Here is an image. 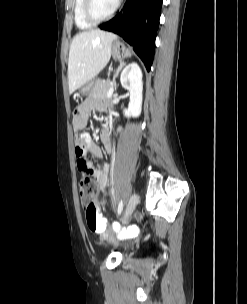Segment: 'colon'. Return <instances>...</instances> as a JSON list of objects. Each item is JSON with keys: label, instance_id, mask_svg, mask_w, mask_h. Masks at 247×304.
Segmentation results:
<instances>
[{"label": "colon", "instance_id": "1", "mask_svg": "<svg viewBox=\"0 0 247 304\" xmlns=\"http://www.w3.org/2000/svg\"><path fill=\"white\" fill-rule=\"evenodd\" d=\"M78 120V119H74ZM83 165V163H82ZM97 193L95 181L90 176H84L79 183V195L85 209L86 222L89 229L96 233H106L109 228L107 221L102 217L94 198ZM120 238H143L144 232L140 231L137 224H121Z\"/></svg>", "mask_w": 247, "mask_h": 304}]
</instances>
